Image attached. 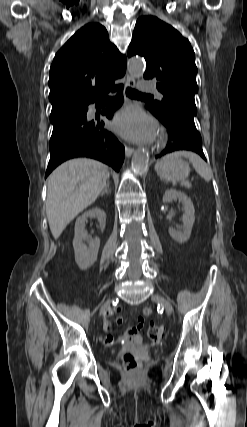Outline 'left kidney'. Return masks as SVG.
<instances>
[{
	"label": "left kidney",
	"mask_w": 247,
	"mask_h": 427,
	"mask_svg": "<svg viewBox=\"0 0 247 427\" xmlns=\"http://www.w3.org/2000/svg\"><path fill=\"white\" fill-rule=\"evenodd\" d=\"M173 200H179L183 205V231L179 229L169 228L170 236L178 243L182 244L188 241L191 235L192 227L195 221V210L191 199L184 193L176 190H167L163 195V202L169 203Z\"/></svg>",
	"instance_id": "obj_1"
}]
</instances>
